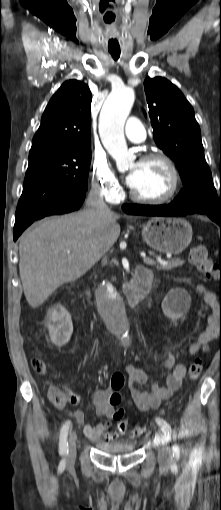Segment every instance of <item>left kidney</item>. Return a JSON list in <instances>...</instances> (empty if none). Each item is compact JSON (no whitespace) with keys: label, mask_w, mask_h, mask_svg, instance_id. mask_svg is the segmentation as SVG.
<instances>
[{"label":"left kidney","mask_w":221,"mask_h":510,"mask_svg":"<svg viewBox=\"0 0 221 510\" xmlns=\"http://www.w3.org/2000/svg\"><path fill=\"white\" fill-rule=\"evenodd\" d=\"M191 305V297L184 289H172L162 301V311L174 324L185 315Z\"/></svg>","instance_id":"left-kidney-1"}]
</instances>
